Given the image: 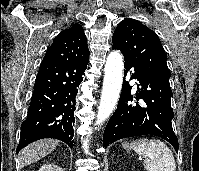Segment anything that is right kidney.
Wrapping results in <instances>:
<instances>
[{
  "instance_id": "obj_1",
  "label": "right kidney",
  "mask_w": 199,
  "mask_h": 171,
  "mask_svg": "<svg viewBox=\"0 0 199 171\" xmlns=\"http://www.w3.org/2000/svg\"><path fill=\"white\" fill-rule=\"evenodd\" d=\"M38 171H64L61 167L55 164H44Z\"/></svg>"
}]
</instances>
